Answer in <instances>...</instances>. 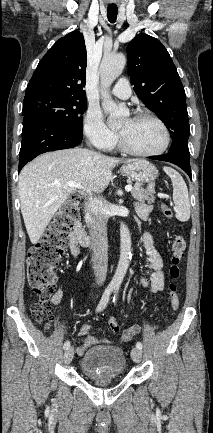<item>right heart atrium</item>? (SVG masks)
Masks as SVG:
<instances>
[{"label":"right heart atrium","mask_w":213,"mask_h":433,"mask_svg":"<svg viewBox=\"0 0 213 433\" xmlns=\"http://www.w3.org/2000/svg\"><path fill=\"white\" fill-rule=\"evenodd\" d=\"M83 132L86 138L99 149H111L117 141L116 133L108 128L101 114L93 109H89L85 114Z\"/></svg>","instance_id":"right-heart-atrium-1"}]
</instances>
